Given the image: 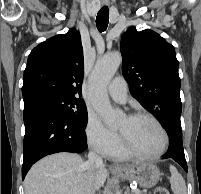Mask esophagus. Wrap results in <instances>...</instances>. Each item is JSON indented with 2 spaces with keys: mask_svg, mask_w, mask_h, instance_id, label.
<instances>
[{
  "mask_svg": "<svg viewBox=\"0 0 201 194\" xmlns=\"http://www.w3.org/2000/svg\"><path fill=\"white\" fill-rule=\"evenodd\" d=\"M121 168V166H119L118 164H111L110 165V169L111 170H118V169H120Z\"/></svg>",
  "mask_w": 201,
  "mask_h": 194,
  "instance_id": "1",
  "label": "esophagus"
}]
</instances>
